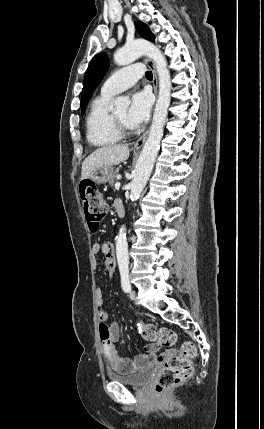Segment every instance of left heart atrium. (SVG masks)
Masks as SVG:
<instances>
[{"instance_id":"obj_1","label":"left heart atrium","mask_w":264,"mask_h":429,"mask_svg":"<svg viewBox=\"0 0 264 429\" xmlns=\"http://www.w3.org/2000/svg\"><path fill=\"white\" fill-rule=\"evenodd\" d=\"M152 107V97L147 91H139L132 95L131 104L127 111V122L133 127H139L148 119Z\"/></svg>"}]
</instances>
